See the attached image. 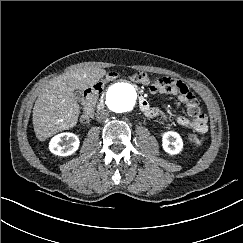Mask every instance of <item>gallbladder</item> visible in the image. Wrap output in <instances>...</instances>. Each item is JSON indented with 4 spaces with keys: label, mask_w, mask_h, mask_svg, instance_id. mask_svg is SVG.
I'll list each match as a JSON object with an SVG mask.
<instances>
[{
    "label": "gallbladder",
    "mask_w": 243,
    "mask_h": 243,
    "mask_svg": "<svg viewBox=\"0 0 243 243\" xmlns=\"http://www.w3.org/2000/svg\"><path fill=\"white\" fill-rule=\"evenodd\" d=\"M74 95H75V98L77 101H81V98H82V92L77 90L74 92Z\"/></svg>",
    "instance_id": "obj_1"
}]
</instances>
